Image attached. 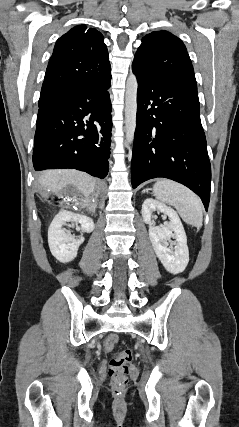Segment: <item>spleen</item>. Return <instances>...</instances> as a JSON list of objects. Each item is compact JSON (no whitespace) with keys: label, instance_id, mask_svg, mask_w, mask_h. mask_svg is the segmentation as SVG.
Masks as SVG:
<instances>
[{"label":"spleen","instance_id":"spleen-1","mask_svg":"<svg viewBox=\"0 0 239 427\" xmlns=\"http://www.w3.org/2000/svg\"><path fill=\"white\" fill-rule=\"evenodd\" d=\"M153 194L161 203L173 206L184 222L201 228L202 203L199 197L185 186L171 180H160L153 185Z\"/></svg>","mask_w":239,"mask_h":427}]
</instances>
